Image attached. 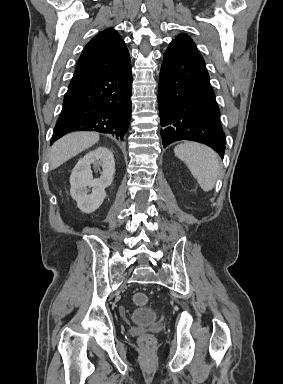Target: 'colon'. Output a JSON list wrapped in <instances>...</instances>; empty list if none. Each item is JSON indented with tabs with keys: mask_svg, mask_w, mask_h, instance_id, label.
<instances>
[{
	"mask_svg": "<svg viewBox=\"0 0 283 384\" xmlns=\"http://www.w3.org/2000/svg\"><path fill=\"white\" fill-rule=\"evenodd\" d=\"M133 302L136 306H145L148 304V297L143 292H136L133 295ZM153 342H154V339L149 334H146L140 337V344L144 347L151 346Z\"/></svg>",
	"mask_w": 283,
	"mask_h": 384,
	"instance_id": "5ec220e1",
	"label": "colon"
}]
</instances>
